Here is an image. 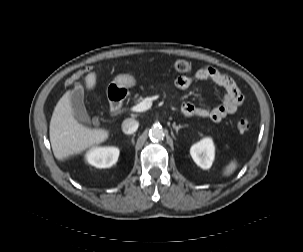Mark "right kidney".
<instances>
[{
	"label": "right kidney",
	"instance_id": "obj_1",
	"mask_svg": "<svg viewBox=\"0 0 303 252\" xmlns=\"http://www.w3.org/2000/svg\"><path fill=\"white\" fill-rule=\"evenodd\" d=\"M119 157V149L116 147H98L86 154V161L97 168H109L113 166Z\"/></svg>",
	"mask_w": 303,
	"mask_h": 252
}]
</instances>
